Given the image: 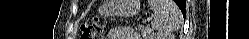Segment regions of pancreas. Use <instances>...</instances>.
Returning <instances> with one entry per match:
<instances>
[{"label":"pancreas","instance_id":"obj_1","mask_svg":"<svg viewBox=\"0 0 249 39\" xmlns=\"http://www.w3.org/2000/svg\"><path fill=\"white\" fill-rule=\"evenodd\" d=\"M139 30H140V32H141V34L143 35V36H149L150 35V32H149V29L148 28H145V27H143V26H139Z\"/></svg>","mask_w":249,"mask_h":39}]
</instances>
